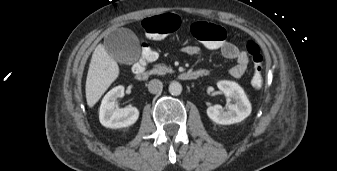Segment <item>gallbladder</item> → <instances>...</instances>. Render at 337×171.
I'll use <instances>...</instances> for the list:
<instances>
[{"label": "gallbladder", "instance_id": "bac80fb5", "mask_svg": "<svg viewBox=\"0 0 337 171\" xmlns=\"http://www.w3.org/2000/svg\"><path fill=\"white\" fill-rule=\"evenodd\" d=\"M104 47L116 61L132 64L140 55L137 37L128 29L119 28L105 37Z\"/></svg>", "mask_w": 337, "mask_h": 171}]
</instances>
